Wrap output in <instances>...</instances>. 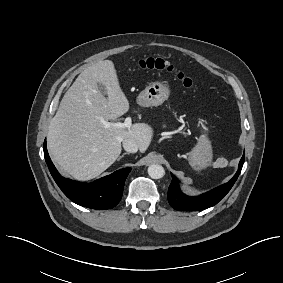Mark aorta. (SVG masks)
Returning a JSON list of instances; mask_svg holds the SVG:
<instances>
[{"label": "aorta", "instance_id": "1", "mask_svg": "<svg viewBox=\"0 0 283 283\" xmlns=\"http://www.w3.org/2000/svg\"><path fill=\"white\" fill-rule=\"evenodd\" d=\"M148 174L152 179H160L164 176L165 170L161 165L152 164L148 167Z\"/></svg>", "mask_w": 283, "mask_h": 283}]
</instances>
